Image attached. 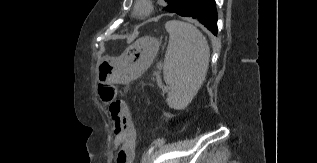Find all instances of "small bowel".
<instances>
[{
	"instance_id": "small-bowel-1",
	"label": "small bowel",
	"mask_w": 317,
	"mask_h": 163,
	"mask_svg": "<svg viewBox=\"0 0 317 163\" xmlns=\"http://www.w3.org/2000/svg\"><path fill=\"white\" fill-rule=\"evenodd\" d=\"M111 118L116 134V143L119 146L116 163H131L136 145V132L126 105L124 104L123 115L113 116L111 114Z\"/></svg>"
}]
</instances>
